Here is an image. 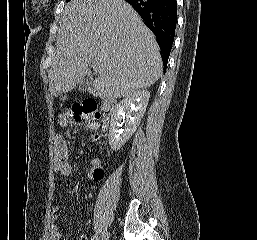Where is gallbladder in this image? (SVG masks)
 <instances>
[{"mask_svg": "<svg viewBox=\"0 0 257 240\" xmlns=\"http://www.w3.org/2000/svg\"><path fill=\"white\" fill-rule=\"evenodd\" d=\"M90 83H91L90 79H83L79 83V90L85 91L87 89V87L90 85Z\"/></svg>", "mask_w": 257, "mask_h": 240, "instance_id": "1", "label": "gallbladder"}]
</instances>
